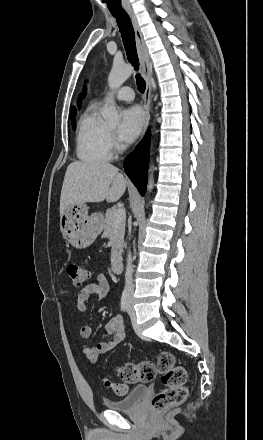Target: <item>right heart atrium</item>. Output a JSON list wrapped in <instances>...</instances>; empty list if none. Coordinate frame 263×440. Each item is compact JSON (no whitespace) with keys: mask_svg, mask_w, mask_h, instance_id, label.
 <instances>
[{"mask_svg":"<svg viewBox=\"0 0 263 440\" xmlns=\"http://www.w3.org/2000/svg\"><path fill=\"white\" fill-rule=\"evenodd\" d=\"M111 141L112 143H115V137L113 135L111 136Z\"/></svg>","mask_w":263,"mask_h":440,"instance_id":"right-heart-atrium-1","label":"right heart atrium"}]
</instances>
